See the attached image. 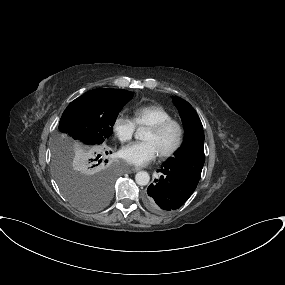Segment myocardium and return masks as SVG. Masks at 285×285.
<instances>
[{
    "mask_svg": "<svg viewBox=\"0 0 285 285\" xmlns=\"http://www.w3.org/2000/svg\"><path fill=\"white\" fill-rule=\"evenodd\" d=\"M172 125L177 128V132H178L177 140L171 148H169L168 150H166L164 152L159 153V156L161 158L171 157L181 148V146L183 144V140H184L183 125L178 120L170 118V119L163 120V121L156 123V124L149 127V129L152 130L153 132L161 133L165 129H167L168 127H170Z\"/></svg>",
    "mask_w": 285,
    "mask_h": 285,
    "instance_id": "1",
    "label": "myocardium"
}]
</instances>
